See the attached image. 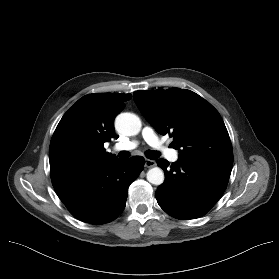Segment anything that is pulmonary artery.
<instances>
[{"label": "pulmonary artery", "instance_id": "e3ab8cb5", "mask_svg": "<svg viewBox=\"0 0 279 279\" xmlns=\"http://www.w3.org/2000/svg\"><path fill=\"white\" fill-rule=\"evenodd\" d=\"M142 138L143 140L156 149L158 152L163 153L171 162H176L178 160L179 152L176 150H168L166 146L160 141L157 137L154 130L146 126L142 130ZM139 145V142L136 140L128 141L122 144H117L114 146L115 150H130L134 149Z\"/></svg>", "mask_w": 279, "mask_h": 279}]
</instances>
